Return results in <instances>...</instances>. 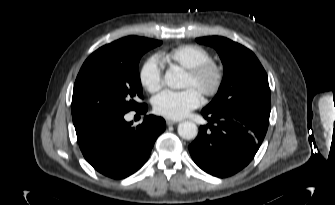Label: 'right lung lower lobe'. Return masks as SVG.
Returning <instances> with one entry per match:
<instances>
[{
    "instance_id": "right-lung-lower-lobe-1",
    "label": "right lung lower lobe",
    "mask_w": 335,
    "mask_h": 205,
    "mask_svg": "<svg viewBox=\"0 0 335 205\" xmlns=\"http://www.w3.org/2000/svg\"><path fill=\"white\" fill-rule=\"evenodd\" d=\"M143 104L137 113L145 114ZM124 114L101 115L73 121L78 143L85 159L100 173L125 178L147 161L157 137L165 130L161 117L148 115L143 123L132 127Z\"/></svg>"
}]
</instances>
